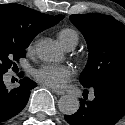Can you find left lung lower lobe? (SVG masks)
I'll use <instances>...</instances> for the list:
<instances>
[{
    "instance_id": "obj_1",
    "label": "left lung lower lobe",
    "mask_w": 125,
    "mask_h": 125,
    "mask_svg": "<svg viewBox=\"0 0 125 125\" xmlns=\"http://www.w3.org/2000/svg\"><path fill=\"white\" fill-rule=\"evenodd\" d=\"M93 89V101L81 99L78 111L65 115L70 125H115L124 116L125 81L101 82Z\"/></svg>"
}]
</instances>
